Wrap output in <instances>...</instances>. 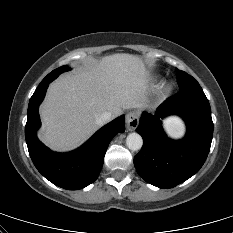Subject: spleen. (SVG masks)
<instances>
[{
	"label": "spleen",
	"instance_id": "3e777b00",
	"mask_svg": "<svg viewBox=\"0 0 233 233\" xmlns=\"http://www.w3.org/2000/svg\"><path fill=\"white\" fill-rule=\"evenodd\" d=\"M168 134L174 138H178L184 134V125L177 118H172L165 122Z\"/></svg>",
	"mask_w": 233,
	"mask_h": 233
}]
</instances>
